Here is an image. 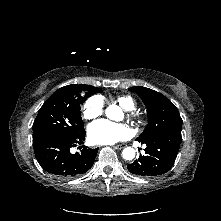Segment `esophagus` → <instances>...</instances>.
<instances>
[{
  "instance_id": "34e87169",
  "label": "esophagus",
  "mask_w": 221,
  "mask_h": 221,
  "mask_svg": "<svg viewBox=\"0 0 221 221\" xmlns=\"http://www.w3.org/2000/svg\"><path fill=\"white\" fill-rule=\"evenodd\" d=\"M126 145L125 144H118V145H113L112 147L114 149H123Z\"/></svg>"
}]
</instances>
